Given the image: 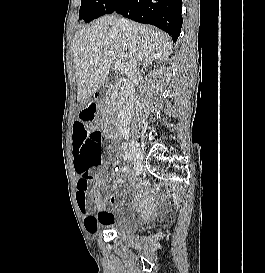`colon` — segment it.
Here are the masks:
<instances>
[{"label": "colon", "mask_w": 265, "mask_h": 273, "mask_svg": "<svg viewBox=\"0 0 265 273\" xmlns=\"http://www.w3.org/2000/svg\"><path fill=\"white\" fill-rule=\"evenodd\" d=\"M102 132L100 130L76 129V150L79 169L88 173L101 162Z\"/></svg>", "instance_id": "1"}]
</instances>
